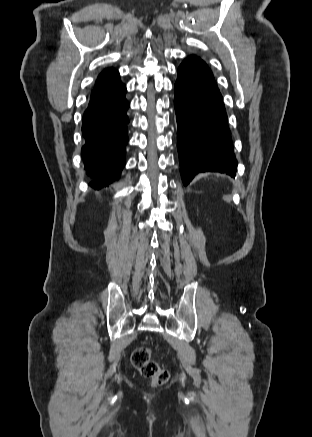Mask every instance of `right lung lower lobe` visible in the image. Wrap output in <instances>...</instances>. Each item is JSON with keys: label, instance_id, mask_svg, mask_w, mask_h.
<instances>
[{"label": "right lung lower lobe", "instance_id": "right-lung-lower-lobe-1", "mask_svg": "<svg viewBox=\"0 0 312 437\" xmlns=\"http://www.w3.org/2000/svg\"><path fill=\"white\" fill-rule=\"evenodd\" d=\"M125 93L126 86L118 74L94 88L84 113L82 133L86 143L81 154L87 174L92 178L89 185L93 188L112 183L125 165L129 122Z\"/></svg>", "mask_w": 312, "mask_h": 437}]
</instances>
